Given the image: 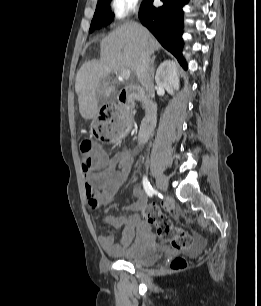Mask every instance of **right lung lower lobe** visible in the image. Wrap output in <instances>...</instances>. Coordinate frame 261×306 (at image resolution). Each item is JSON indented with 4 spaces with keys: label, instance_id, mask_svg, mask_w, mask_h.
Wrapping results in <instances>:
<instances>
[{
    "label": "right lung lower lobe",
    "instance_id": "obj_1",
    "mask_svg": "<svg viewBox=\"0 0 261 306\" xmlns=\"http://www.w3.org/2000/svg\"><path fill=\"white\" fill-rule=\"evenodd\" d=\"M163 6L154 7L153 0L142 2L139 10V19L164 48L170 51L186 68L185 59L182 57L183 10L182 7L188 0H161Z\"/></svg>",
    "mask_w": 261,
    "mask_h": 306
}]
</instances>
